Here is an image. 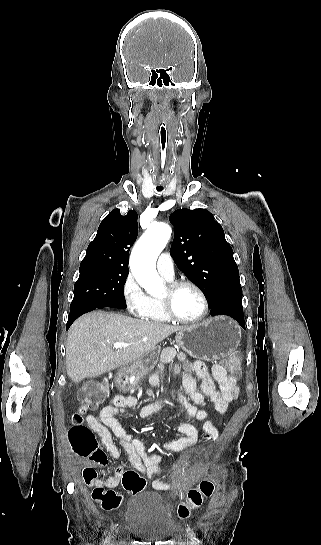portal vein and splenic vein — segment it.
<instances>
[{
    "label": "portal vein and splenic vein",
    "mask_w": 321,
    "mask_h": 545,
    "mask_svg": "<svg viewBox=\"0 0 321 545\" xmlns=\"http://www.w3.org/2000/svg\"><path fill=\"white\" fill-rule=\"evenodd\" d=\"M114 349H122V347H129L128 343H114Z\"/></svg>",
    "instance_id": "18ae733b"
}]
</instances>
